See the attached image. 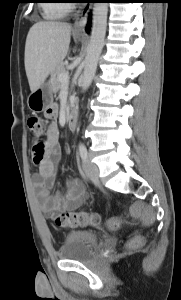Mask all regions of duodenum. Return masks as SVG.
<instances>
[{
  "label": "duodenum",
  "instance_id": "duodenum-1",
  "mask_svg": "<svg viewBox=\"0 0 181 300\" xmlns=\"http://www.w3.org/2000/svg\"><path fill=\"white\" fill-rule=\"evenodd\" d=\"M78 112L76 108H72L67 120V126L70 131H74L77 126Z\"/></svg>",
  "mask_w": 181,
  "mask_h": 300
}]
</instances>
